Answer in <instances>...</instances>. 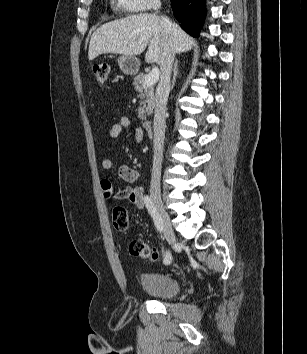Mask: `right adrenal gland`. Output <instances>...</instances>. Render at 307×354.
<instances>
[{"label": "right adrenal gland", "instance_id": "2a0ac1e0", "mask_svg": "<svg viewBox=\"0 0 307 354\" xmlns=\"http://www.w3.org/2000/svg\"><path fill=\"white\" fill-rule=\"evenodd\" d=\"M178 60L175 61L174 67H173V80H172V86L171 88L173 89L175 82H176V77L178 75Z\"/></svg>", "mask_w": 307, "mask_h": 354}]
</instances>
